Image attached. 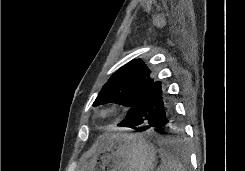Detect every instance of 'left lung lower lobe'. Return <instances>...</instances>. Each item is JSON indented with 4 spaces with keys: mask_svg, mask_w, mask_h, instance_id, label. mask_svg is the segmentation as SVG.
<instances>
[{
    "mask_svg": "<svg viewBox=\"0 0 245 171\" xmlns=\"http://www.w3.org/2000/svg\"><path fill=\"white\" fill-rule=\"evenodd\" d=\"M175 119L174 106L164 93L161 82L154 81L140 93L137 102L118 126L130 127L138 132L153 127L157 133L166 134Z\"/></svg>",
    "mask_w": 245,
    "mask_h": 171,
    "instance_id": "left-lung-lower-lobe-1",
    "label": "left lung lower lobe"
}]
</instances>
